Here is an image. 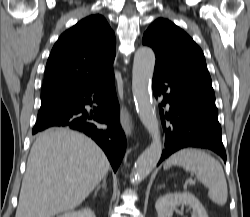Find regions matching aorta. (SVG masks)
<instances>
[{
  "instance_id": "1",
  "label": "aorta",
  "mask_w": 250,
  "mask_h": 217,
  "mask_svg": "<svg viewBox=\"0 0 250 217\" xmlns=\"http://www.w3.org/2000/svg\"><path fill=\"white\" fill-rule=\"evenodd\" d=\"M155 60L154 51L149 47H140L134 56L132 71L133 97L137 113L152 137L150 146L139 156L135 163L131 180L134 184L140 183L150 174L162 154L163 146L150 90Z\"/></svg>"
}]
</instances>
